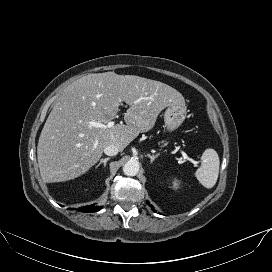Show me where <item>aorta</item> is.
<instances>
[{"label":"aorta","instance_id":"1","mask_svg":"<svg viewBox=\"0 0 272 272\" xmlns=\"http://www.w3.org/2000/svg\"><path fill=\"white\" fill-rule=\"evenodd\" d=\"M140 169L139 161L136 159L128 160L123 166V172L127 176H135Z\"/></svg>","mask_w":272,"mask_h":272}]
</instances>
